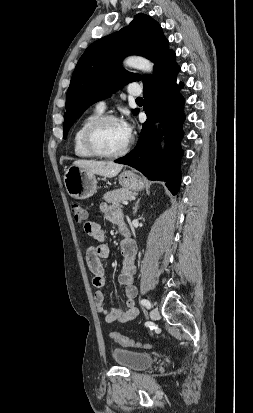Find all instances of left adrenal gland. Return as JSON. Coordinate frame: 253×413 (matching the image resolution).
Instances as JSON below:
<instances>
[{
	"label": "left adrenal gland",
	"instance_id": "left-adrenal-gland-1",
	"mask_svg": "<svg viewBox=\"0 0 253 413\" xmlns=\"http://www.w3.org/2000/svg\"><path fill=\"white\" fill-rule=\"evenodd\" d=\"M139 202L140 198L135 202L134 207H133V214H136L139 208Z\"/></svg>",
	"mask_w": 253,
	"mask_h": 413
}]
</instances>
